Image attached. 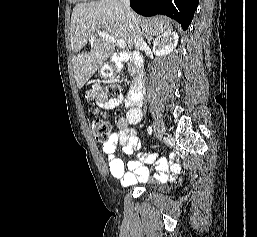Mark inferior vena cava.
I'll list each match as a JSON object with an SVG mask.
<instances>
[{"label":"inferior vena cava","instance_id":"inferior-vena-cava-1","mask_svg":"<svg viewBox=\"0 0 257 237\" xmlns=\"http://www.w3.org/2000/svg\"><path fill=\"white\" fill-rule=\"evenodd\" d=\"M121 3L124 7L125 15H126L128 21L131 24L135 25L136 22H135L134 15H133V13L131 11V8H130V0H121ZM145 45L146 44H145L141 34L138 33L137 36H136V39H135V48L138 49V50L139 49L141 50L145 47Z\"/></svg>","mask_w":257,"mask_h":237}]
</instances>
